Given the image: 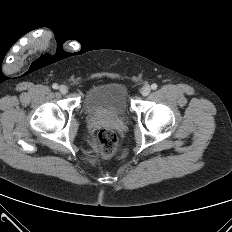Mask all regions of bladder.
<instances>
[{"label":"bladder","mask_w":232,"mask_h":232,"mask_svg":"<svg viewBox=\"0 0 232 232\" xmlns=\"http://www.w3.org/2000/svg\"><path fill=\"white\" fill-rule=\"evenodd\" d=\"M83 108L88 114L125 115L130 108L126 85L118 80L95 85L85 95Z\"/></svg>","instance_id":"bladder-1"}]
</instances>
